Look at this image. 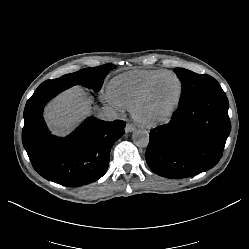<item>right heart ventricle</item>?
Returning a JSON list of instances; mask_svg holds the SVG:
<instances>
[{"label": "right heart ventricle", "mask_w": 249, "mask_h": 249, "mask_svg": "<svg viewBox=\"0 0 249 249\" xmlns=\"http://www.w3.org/2000/svg\"><path fill=\"white\" fill-rule=\"evenodd\" d=\"M168 72L165 69H134L113 77L107 85L109 96L130 107L134 99L154 77Z\"/></svg>", "instance_id": "e07e8e85"}]
</instances>
